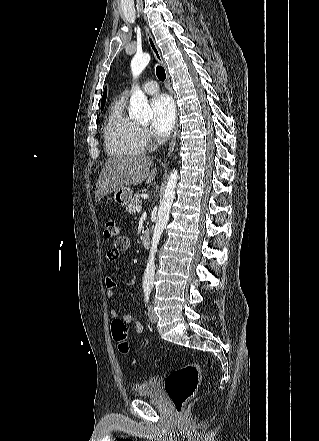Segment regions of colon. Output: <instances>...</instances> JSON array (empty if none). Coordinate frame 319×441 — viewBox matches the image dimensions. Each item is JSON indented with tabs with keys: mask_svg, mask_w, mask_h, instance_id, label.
I'll use <instances>...</instances> for the list:
<instances>
[{
	"mask_svg": "<svg viewBox=\"0 0 319 441\" xmlns=\"http://www.w3.org/2000/svg\"><path fill=\"white\" fill-rule=\"evenodd\" d=\"M104 237L108 240L119 236L116 221L108 219L104 225ZM111 333L118 349L126 354L129 351L128 331L126 323L119 318L112 321ZM200 379V368L195 362H188L183 367L169 373L165 379V390L178 416L184 413L186 402L194 395Z\"/></svg>",
	"mask_w": 319,
	"mask_h": 441,
	"instance_id": "colon-1",
	"label": "colon"
}]
</instances>
